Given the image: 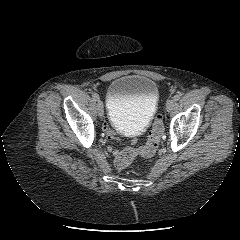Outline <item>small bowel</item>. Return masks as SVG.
Instances as JSON below:
<instances>
[{"label": "small bowel", "mask_w": 240, "mask_h": 240, "mask_svg": "<svg viewBox=\"0 0 240 240\" xmlns=\"http://www.w3.org/2000/svg\"><path fill=\"white\" fill-rule=\"evenodd\" d=\"M101 123V126H103V132H104V134L107 136V138L108 139H110L111 141H113V142H118L119 144H121V145H123V144H125V139H123V138H119L118 136H117V133L114 131V130H109V126H110V123L109 122H107L106 121V119H101V121H100ZM130 144L132 145V146H137L138 144H139V139L137 138V137H132L131 139H130ZM109 151L114 155V156H117V155H119V153H120V151L118 150V149H115V148H113V147H110L109 148Z\"/></svg>", "instance_id": "small-bowel-1"}]
</instances>
